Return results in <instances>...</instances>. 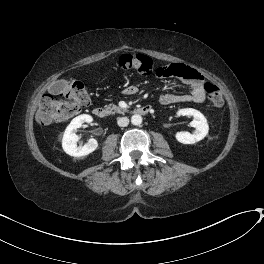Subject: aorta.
I'll use <instances>...</instances> for the list:
<instances>
[{
  "mask_svg": "<svg viewBox=\"0 0 264 264\" xmlns=\"http://www.w3.org/2000/svg\"><path fill=\"white\" fill-rule=\"evenodd\" d=\"M131 123L133 125H140L142 123V116L139 115V114H134L132 117H131Z\"/></svg>",
  "mask_w": 264,
  "mask_h": 264,
  "instance_id": "obj_1",
  "label": "aorta"
}]
</instances>
